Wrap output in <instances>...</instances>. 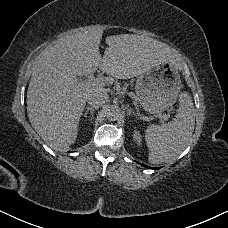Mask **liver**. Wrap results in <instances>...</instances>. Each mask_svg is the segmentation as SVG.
<instances>
[{"label": "liver", "mask_w": 228, "mask_h": 228, "mask_svg": "<svg viewBox=\"0 0 228 228\" xmlns=\"http://www.w3.org/2000/svg\"><path fill=\"white\" fill-rule=\"evenodd\" d=\"M103 30L90 29L59 39L34 62L27 90V116L43 143L65 151L79 136L80 124L92 91H106L117 80H129L161 64L177 67L178 54L170 46L144 35L122 34L105 38L102 58L99 46ZM100 68L107 74L99 85L86 77Z\"/></svg>", "instance_id": "1"}]
</instances>
